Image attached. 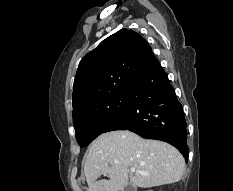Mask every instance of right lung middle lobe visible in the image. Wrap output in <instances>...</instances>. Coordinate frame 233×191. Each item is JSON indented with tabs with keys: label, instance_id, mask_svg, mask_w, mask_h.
<instances>
[{
	"label": "right lung middle lobe",
	"instance_id": "obj_1",
	"mask_svg": "<svg viewBox=\"0 0 233 191\" xmlns=\"http://www.w3.org/2000/svg\"><path fill=\"white\" fill-rule=\"evenodd\" d=\"M127 94L109 98L73 116L76 139L80 147L92 142L128 107Z\"/></svg>",
	"mask_w": 233,
	"mask_h": 191
}]
</instances>
